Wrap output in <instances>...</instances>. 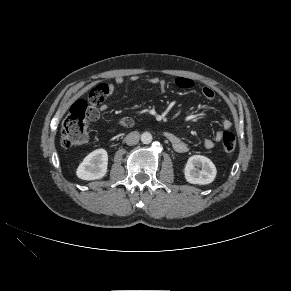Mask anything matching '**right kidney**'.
<instances>
[{"mask_svg":"<svg viewBox=\"0 0 291 291\" xmlns=\"http://www.w3.org/2000/svg\"><path fill=\"white\" fill-rule=\"evenodd\" d=\"M108 154L105 149H97L87 155L78 166L76 175L82 180L101 179L107 172Z\"/></svg>","mask_w":291,"mask_h":291,"instance_id":"right-kidney-1","label":"right kidney"}]
</instances>
